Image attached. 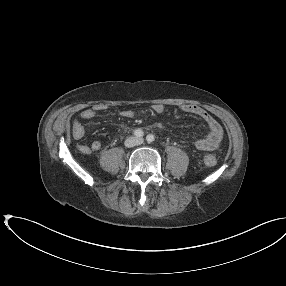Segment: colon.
<instances>
[{"label": "colon", "instance_id": "obj_1", "mask_svg": "<svg viewBox=\"0 0 286 286\" xmlns=\"http://www.w3.org/2000/svg\"><path fill=\"white\" fill-rule=\"evenodd\" d=\"M203 162L206 166L213 167L216 165L217 160H216V157L214 155L207 154L204 156Z\"/></svg>", "mask_w": 286, "mask_h": 286}]
</instances>
